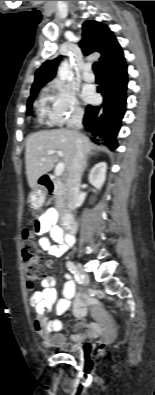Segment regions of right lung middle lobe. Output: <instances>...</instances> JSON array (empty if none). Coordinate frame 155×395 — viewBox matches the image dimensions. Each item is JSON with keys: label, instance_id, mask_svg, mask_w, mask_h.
Segmentation results:
<instances>
[{"label": "right lung middle lobe", "instance_id": "right-lung-middle-lobe-1", "mask_svg": "<svg viewBox=\"0 0 155 395\" xmlns=\"http://www.w3.org/2000/svg\"><path fill=\"white\" fill-rule=\"evenodd\" d=\"M37 93H38V92H37ZM37 93L31 95V97H30L29 100H28V104H27V107H28L27 115H29L30 112H31L32 102H33V99H34V97L36 96Z\"/></svg>", "mask_w": 155, "mask_h": 395}]
</instances>
